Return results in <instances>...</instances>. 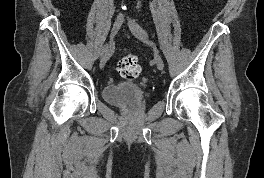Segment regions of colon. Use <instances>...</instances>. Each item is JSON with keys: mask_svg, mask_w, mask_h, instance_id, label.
<instances>
[{"mask_svg": "<svg viewBox=\"0 0 264 178\" xmlns=\"http://www.w3.org/2000/svg\"><path fill=\"white\" fill-rule=\"evenodd\" d=\"M120 75L130 81L135 80L140 72L141 66L137 56L129 54L121 58L117 64Z\"/></svg>", "mask_w": 264, "mask_h": 178, "instance_id": "5ec220e1", "label": "colon"}]
</instances>
